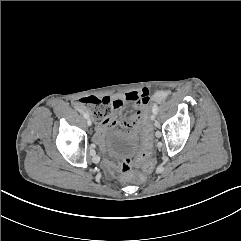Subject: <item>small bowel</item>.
Segmentation results:
<instances>
[{"instance_id":"1","label":"small bowel","mask_w":241,"mask_h":241,"mask_svg":"<svg viewBox=\"0 0 241 241\" xmlns=\"http://www.w3.org/2000/svg\"><path fill=\"white\" fill-rule=\"evenodd\" d=\"M150 95L151 90L147 86H140L135 91L115 94L110 98L115 109L120 110L119 122L130 131H137L142 134L143 127L147 126L142 122V119L144 117V108L152 102ZM156 99L159 100L160 98L156 97ZM129 104H132V106H129ZM116 123L117 120L111 118L96 127L94 138L101 147L104 145L105 130ZM94 160L98 162L99 159L95 158ZM105 170L108 176L113 177L115 175V168L109 162L105 163Z\"/></svg>"}]
</instances>
